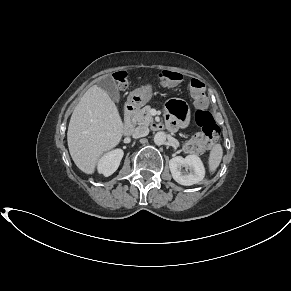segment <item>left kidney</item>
<instances>
[{"label":"left kidney","instance_id":"5707ae66","mask_svg":"<svg viewBox=\"0 0 291 291\" xmlns=\"http://www.w3.org/2000/svg\"><path fill=\"white\" fill-rule=\"evenodd\" d=\"M185 167V170H183ZM169 168L173 179L185 186L197 184L205 176V168L201 159L197 155H188L185 158L181 156L174 157L169 161Z\"/></svg>","mask_w":291,"mask_h":291}]
</instances>
